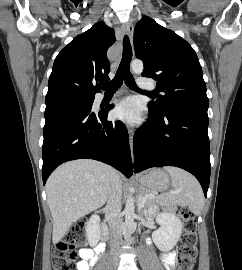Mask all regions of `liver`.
I'll list each match as a JSON object with an SVG mask.
<instances>
[{"instance_id":"6515ba94","label":"liver","mask_w":242,"mask_h":270,"mask_svg":"<svg viewBox=\"0 0 242 270\" xmlns=\"http://www.w3.org/2000/svg\"><path fill=\"white\" fill-rule=\"evenodd\" d=\"M113 178L111 167L90 159L67 162L50 175L46 193L54 221V244L65 236L74 222L105 204ZM118 179L122 183L120 174Z\"/></svg>"}]
</instances>
